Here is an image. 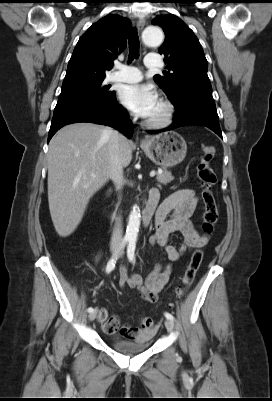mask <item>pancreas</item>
Masks as SVG:
<instances>
[{"instance_id":"pancreas-1","label":"pancreas","mask_w":272,"mask_h":401,"mask_svg":"<svg viewBox=\"0 0 272 401\" xmlns=\"http://www.w3.org/2000/svg\"><path fill=\"white\" fill-rule=\"evenodd\" d=\"M156 179L159 183L166 185L170 183L174 179V177L172 176L170 171L166 170V168H163L162 173H157Z\"/></svg>"}]
</instances>
